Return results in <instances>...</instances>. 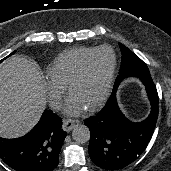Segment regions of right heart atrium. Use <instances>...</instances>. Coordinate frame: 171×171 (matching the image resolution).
Instances as JSON below:
<instances>
[{
	"mask_svg": "<svg viewBox=\"0 0 171 171\" xmlns=\"http://www.w3.org/2000/svg\"><path fill=\"white\" fill-rule=\"evenodd\" d=\"M44 87L47 93L49 103L54 109H59L63 96L66 92V86L59 83L52 78L49 74L44 77Z\"/></svg>",
	"mask_w": 171,
	"mask_h": 171,
	"instance_id": "1",
	"label": "right heart atrium"
}]
</instances>
